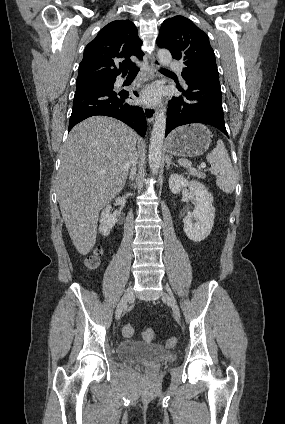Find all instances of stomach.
<instances>
[{
    "mask_svg": "<svg viewBox=\"0 0 285 424\" xmlns=\"http://www.w3.org/2000/svg\"><path fill=\"white\" fill-rule=\"evenodd\" d=\"M211 132L201 124H191L175 129L166 140L171 155L194 157L203 154L211 143Z\"/></svg>",
    "mask_w": 285,
    "mask_h": 424,
    "instance_id": "obj_1",
    "label": "stomach"
}]
</instances>
